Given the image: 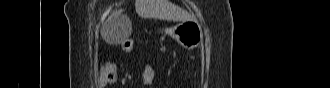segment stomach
Instances as JSON below:
<instances>
[{"mask_svg":"<svg viewBox=\"0 0 330 88\" xmlns=\"http://www.w3.org/2000/svg\"><path fill=\"white\" fill-rule=\"evenodd\" d=\"M169 33L186 49L197 47L203 38L201 26L196 21H183L171 28Z\"/></svg>","mask_w":330,"mask_h":88,"instance_id":"1","label":"stomach"}]
</instances>
